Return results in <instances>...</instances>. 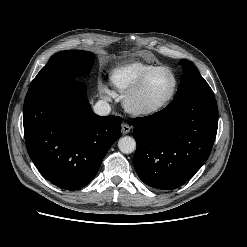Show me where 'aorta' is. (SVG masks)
<instances>
[{"instance_id":"aorta-1","label":"aorta","mask_w":247,"mask_h":247,"mask_svg":"<svg viewBox=\"0 0 247 247\" xmlns=\"http://www.w3.org/2000/svg\"><path fill=\"white\" fill-rule=\"evenodd\" d=\"M118 148L124 154H130L136 149L135 139L130 136H125L119 139Z\"/></svg>"}]
</instances>
